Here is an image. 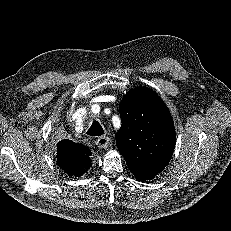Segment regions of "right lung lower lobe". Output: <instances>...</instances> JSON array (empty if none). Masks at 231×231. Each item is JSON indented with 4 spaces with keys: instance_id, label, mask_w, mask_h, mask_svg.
<instances>
[{
    "instance_id": "right-lung-lower-lobe-1",
    "label": "right lung lower lobe",
    "mask_w": 231,
    "mask_h": 231,
    "mask_svg": "<svg viewBox=\"0 0 231 231\" xmlns=\"http://www.w3.org/2000/svg\"><path fill=\"white\" fill-rule=\"evenodd\" d=\"M65 145H67L69 147H72L74 149H77V150H88V151H90L88 148H86L82 144L74 143V142H72L71 140H68V139L65 140Z\"/></svg>"
}]
</instances>
